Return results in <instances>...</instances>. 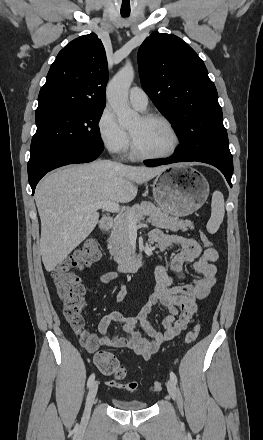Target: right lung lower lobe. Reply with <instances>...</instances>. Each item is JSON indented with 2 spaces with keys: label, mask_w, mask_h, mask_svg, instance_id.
<instances>
[{
  "label": "right lung lower lobe",
  "mask_w": 263,
  "mask_h": 440,
  "mask_svg": "<svg viewBox=\"0 0 263 440\" xmlns=\"http://www.w3.org/2000/svg\"><path fill=\"white\" fill-rule=\"evenodd\" d=\"M103 144L77 148L75 154L59 152L49 158L42 166L28 173L32 195L39 180L49 171L68 164L88 163L95 160L103 151Z\"/></svg>",
  "instance_id": "right-lung-lower-lobe-1"
}]
</instances>
